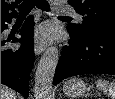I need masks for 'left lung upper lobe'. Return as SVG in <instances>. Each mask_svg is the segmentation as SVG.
Segmentation results:
<instances>
[{
    "label": "left lung upper lobe",
    "mask_w": 115,
    "mask_h": 99,
    "mask_svg": "<svg viewBox=\"0 0 115 99\" xmlns=\"http://www.w3.org/2000/svg\"><path fill=\"white\" fill-rule=\"evenodd\" d=\"M77 13L83 15L81 24H69L67 30L78 38L88 35L115 37V0H68Z\"/></svg>",
    "instance_id": "obj_1"
}]
</instances>
